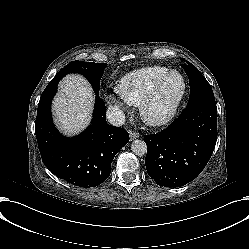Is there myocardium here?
<instances>
[{
	"label": "myocardium",
	"instance_id": "f54148a6",
	"mask_svg": "<svg viewBox=\"0 0 249 249\" xmlns=\"http://www.w3.org/2000/svg\"><path fill=\"white\" fill-rule=\"evenodd\" d=\"M172 75H176L179 78L180 81V91L178 93V95L176 96V98L173 100L170 108L161 116L159 117H152L149 116L147 113V107L149 106V104L151 102H153L159 91L162 89V87L165 85V83L167 82V80L172 76ZM185 80L182 76V74L178 71H169L161 80L160 82L157 84V86L154 88V90L152 91V93L144 100L141 102V104L139 105V116L140 119L149 126H161L164 125L166 123H168L175 115V113L178 110V107L183 99V96L185 94Z\"/></svg>",
	"mask_w": 249,
	"mask_h": 249
}]
</instances>
